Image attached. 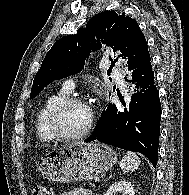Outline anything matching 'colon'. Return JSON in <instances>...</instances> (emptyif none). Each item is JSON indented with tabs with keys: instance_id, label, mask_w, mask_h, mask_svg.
I'll use <instances>...</instances> for the list:
<instances>
[{
	"instance_id": "1",
	"label": "colon",
	"mask_w": 189,
	"mask_h": 195,
	"mask_svg": "<svg viewBox=\"0 0 189 195\" xmlns=\"http://www.w3.org/2000/svg\"><path fill=\"white\" fill-rule=\"evenodd\" d=\"M32 195H49L48 191L43 187H36Z\"/></svg>"
}]
</instances>
